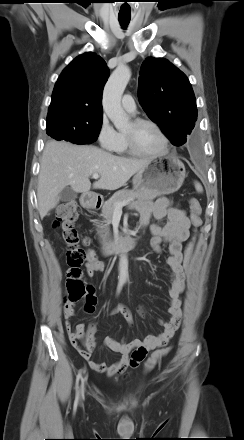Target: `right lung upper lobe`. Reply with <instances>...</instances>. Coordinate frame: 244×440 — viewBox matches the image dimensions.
Masks as SVG:
<instances>
[{
  "mask_svg": "<svg viewBox=\"0 0 244 440\" xmlns=\"http://www.w3.org/2000/svg\"><path fill=\"white\" fill-rule=\"evenodd\" d=\"M109 77L105 61L88 52L76 57L59 76L47 121H102V92Z\"/></svg>",
  "mask_w": 244,
  "mask_h": 440,
  "instance_id": "1",
  "label": "right lung upper lobe"
}]
</instances>
